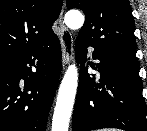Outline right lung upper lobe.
Segmentation results:
<instances>
[{
	"label": "right lung upper lobe",
	"instance_id": "right-lung-upper-lobe-1",
	"mask_svg": "<svg viewBox=\"0 0 147 131\" xmlns=\"http://www.w3.org/2000/svg\"><path fill=\"white\" fill-rule=\"evenodd\" d=\"M61 8L62 0H0V61L52 40Z\"/></svg>",
	"mask_w": 147,
	"mask_h": 131
}]
</instances>
